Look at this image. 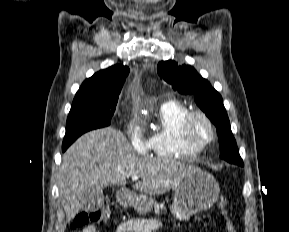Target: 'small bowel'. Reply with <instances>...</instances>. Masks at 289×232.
<instances>
[{
	"label": "small bowel",
	"mask_w": 289,
	"mask_h": 232,
	"mask_svg": "<svg viewBox=\"0 0 289 232\" xmlns=\"http://www.w3.org/2000/svg\"><path fill=\"white\" fill-rule=\"evenodd\" d=\"M161 227L162 224L156 220L148 222L126 221L118 225L116 232H156L159 231ZM82 232H99V230L95 225H88Z\"/></svg>",
	"instance_id": "c3829d8e"
}]
</instances>
